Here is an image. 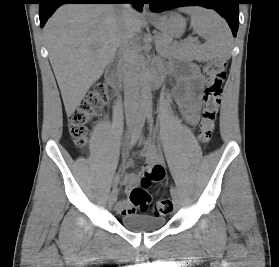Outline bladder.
I'll list each match as a JSON object with an SVG mask.
<instances>
[{
  "label": "bladder",
  "instance_id": "obj_1",
  "mask_svg": "<svg viewBox=\"0 0 279 267\" xmlns=\"http://www.w3.org/2000/svg\"><path fill=\"white\" fill-rule=\"evenodd\" d=\"M121 224L130 231L152 232L160 230L166 220L163 217H154L144 214H127L121 216Z\"/></svg>",
  "mask_w": 279,
  "mask_h": 267
}]
</instances>
